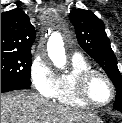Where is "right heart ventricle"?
<instances>
[{"instance_id": "right-heart-ventricle-1", "label": "right heart ventricle", "mask_w": 122, "mask_h": 123, "mask_svg": "<svg viewBox=\"0 0 122 123\" xmlns=\"http://www.w3.org/2000/svg\"><path fill=\"white\" fill-rule=\"evenodd\" d=\"M90 69H93V67L84 57H72L71 70L57 76L56 90L53 98L63 105L72 107H88L87 104L83 103L76 97L75 83L81 73Z\"/></svg>"}]
</instances>
